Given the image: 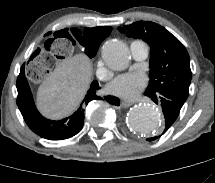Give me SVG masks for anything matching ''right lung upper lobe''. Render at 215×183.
<instances>
[{
    "label": "right lung upper lobe",
    "mask_w": 215,
    "mask_h": 183,
    "mask_svg": "<svg viewBox=\"0 0 215 183\" xmlns=\"http://www.w3.org/2000/svg\"><path fill=\"white\" fill-rule=\"evenodd\" d=\"M91 31H93L97 36L102 37L104 40L112 31V28L109 26L95 27L91 28Z\"/></svg>",
    "instance_id": "right-lung-upper-lobe-1"
}]
</instances>
